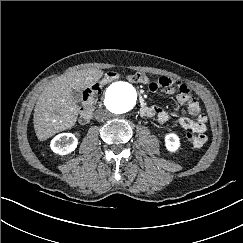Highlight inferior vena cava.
Masks as SVG:
<instances>
[{
  "label": "inferior vena cava",
  "mask_w": 243,
  "mask_h": 243,
  "mask_svg": "<svg viewBox=\"0 0 243 243\" xmlns=\"http://www.w3.org/2000/svg\"><path fill=\"white\" fill-rule=\"evenodd\" d=\"M94 116L96 120L103 121L108 118L109 112L104 109L96 110Z\"/></svg>",
  "instance_id": "inferior-vena-cava-1"
}]
</instances>
